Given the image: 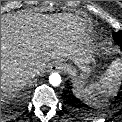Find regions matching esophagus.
<instances>
[{
    "instance_id": "34e87169",
    "label": "esophagus",
    "mask_w": 122,
    "mask_h": 122,
    "mask_svg": "<svg viewBox=\"0 0 122 122\" xmlns=\"http://www.w3.org/2000/svg\"><path fill=\"white\" fill-rule=\"evenodd\" d=\"M65 68L64 64L61 62H54L51 67H50V71L52 72H58V71H62Z\"/></svg>"
}]
</instances>
